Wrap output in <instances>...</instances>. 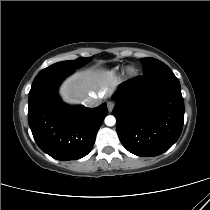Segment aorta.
<instances>
[{
	"label": "aorta",
	"mask_w": 210,
	"mask_h": 210,
	"mask_svg": "<svg viewBox=\"0 0 210 210\" xmlns=\"http://www.w3.org/2000/svg\"><path fill=\"white\" fill-rule=\"evenodd\" d=\"M115 123H116V119H115L114 116H112V115L106 116V118H105V124L107 126H114Z\"/></svg>",
	"instance_id": "obj_1"
}]
</instances>
